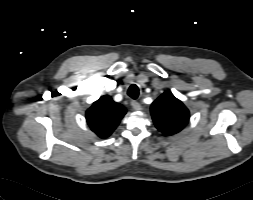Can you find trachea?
<instances>
[{
    "instance_id": "3493384b",
    "label": "trachea",
    "mask_w": 253,
    "mask_h": 200,
    "mask_svg": "<svg viewBox=\"0 0 253 200\" xmlns=\"http://www.w3.org/2000/svg\"><path fill=\"white\" fill-rule=\"evenodd\" d=\"M127 94L132 99H137L139 95V88L135 84H133L129 87Z\"/></svg>"
}]
</instances>
